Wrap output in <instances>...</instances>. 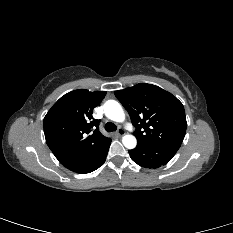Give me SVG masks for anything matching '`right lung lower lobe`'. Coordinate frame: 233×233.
I'll use <instances>...</instances> for the list:
<instances>
[{
  "label": "right lung lower lobe",
  "instance_id": "obj_1",
  "mask_svg": "<svg viewBox=\"0 0 233 233\" xmlns=\"http://www.w3.org/2000/svg\"><path fill=\"white\" fill-rule=\"evenodd\" d=\"M110 143L111 140L82 169L77 171V173H90L99 168L105 162Z\"/></svg>",
  "mask_w": 233,
  "mask_h": 233
}]
</instances>
